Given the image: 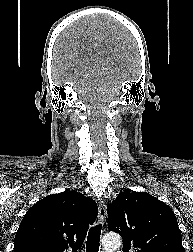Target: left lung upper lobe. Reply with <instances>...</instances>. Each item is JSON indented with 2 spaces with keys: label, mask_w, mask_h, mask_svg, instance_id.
<instances>
[{
  "label": "left lung upper lobe",
  "mask_w": 193,
  "mask_h": 252,
  "mask_svg": "<svg viewBox=\"0 0 193 252\" xmlns=\"http://www.w3.org/2000/svg\"><path fill=\"white\" fill-rule=\"evenodd\" d=\"M107 211L108 229L122 236L124 252H183L174 212L149 193L120 192Z\"/></svg>",
  "instance_id": "1"
}]
</instances>
